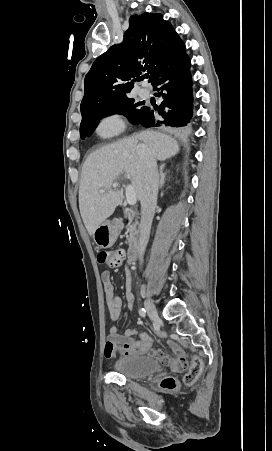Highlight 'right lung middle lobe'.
<instances>
[{"instance_id":"obj_1","label":"right lung middle lobe","mask_w":272,"mask_h":451,"mask_svg":"<svg viewBox=\"0 0 272 451\" xmlns=\"http://www.w3.org/2000/svg\"><path fill=\"white\" fill-rule=\"evenodd\" d=\"M139 103L126 97L119 100L107 102L86 110L82 114L80 125V136L82 139L91 135L100 119L112 114L125 115L131 123L137 124L143 117L147 107H139Z\"/></svg>"}]
</instances>
